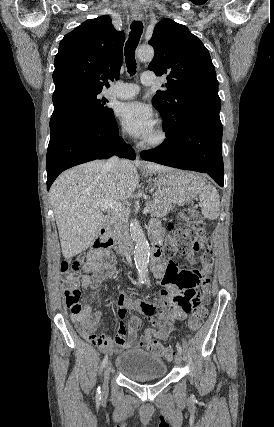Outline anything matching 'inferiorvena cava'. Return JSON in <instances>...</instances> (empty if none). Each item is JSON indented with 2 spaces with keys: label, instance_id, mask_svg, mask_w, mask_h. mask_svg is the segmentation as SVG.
<instances>
[{
  "label": "inferior vena cava",
  "instance_id": "inferior-vena-cava-1",
  "mask_svg": "<svg viewBox=\"0 0 274 427\" xmlns=\"http://www.w3.org/2000/svg\"><path fill=\"white\" fill-rule=\"evenodd\" d=\"M104 168H109V170H114V172H119V158L117 156H113L110 160H107Z\"/></svg>",
  "mask_w": 274,
  "mask_h": 427
}]
</instances>
